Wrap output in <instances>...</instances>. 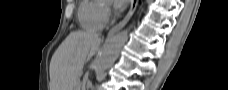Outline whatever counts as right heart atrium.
Wrapping results in <instances>:
<instances>
[{"instance_id":"d8ad5b80","label":"right heart atrium","mask_w":228,"mask_h":90,"mask_svg":"<svg viewBox=\"0 0 228 90\" xmlns=\"http://www.w3.org/2000/svg\"><path fill=\"white\" fill-rule=\"evenodd\" d=\"M100 17L105 23L109 20V17H110L109 4L105 1H102V4H101Z\"/></svg>"}]
</instances>
